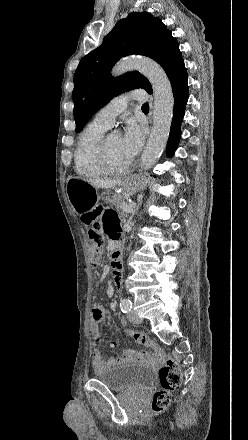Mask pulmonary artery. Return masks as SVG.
<instances>
[{
    "label": "pulmonary artery",
    "mask_w": 248,
    "mask_h": 440,
    "mask_svg": "<svg viewBox=\"0 0 248 440\" xmlns=\"http://www.w3.org/2000/svg\"><path fill=\"white\" fill-rule=\"evenodd\" d=\"M146 98V93L144 90L135 89L129 93L121 94L114 99H112L107 105H105L102 109H100L96 115L94 120L109 128L115 121V118L120 115L126 108L129 100H138L142 101Z\"/></svg>",
    "instance_id": "obj_1"
}]
</instances>
